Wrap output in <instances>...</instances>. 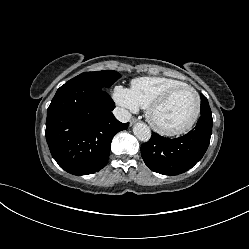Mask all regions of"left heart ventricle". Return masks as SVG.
I'll return each instance as SVG.
<instances>
[{"mask_svg":"<svg viewBox=\"0 0 249 249\" xmlns=\"http://www.w3.org/2000/svg\"><path fill=\"white\" fill-rule=\"evenodd\" d=\"M196 107V98L189 89L175 93L171 99L154 112V120L161 127L174 130L189 122Z\"/></svg>","mask_w":249,"mask_h":249,"instance_id":"1","label":"left heart ventricle"}]
</instances>
